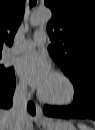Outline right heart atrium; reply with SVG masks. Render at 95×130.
<instances>
[{
  "label": "right heart atrium",
  "mask_w": 95,
  "mask_h": 130,
  "mask_svg": "<svg viewBox=\"0 0 95 130\" xmlns=\"http://www.w3.org/2000/svg\"><path fill=\"white\" fill-rule=\"evenodd\" d=\"M15 89L20 95H26L28 93L27 84L23 80L17 81Z\"/></svg>",
  "instance_id": "obj_1"
}]
</instances>
